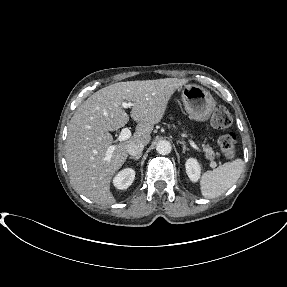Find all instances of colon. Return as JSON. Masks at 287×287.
<instances>
[{"instance_id":"obj_1","label":"colon","mask_w":287,"mask_h":287,"mask_svg":"<svg viewBox=\"0 0 287 287\" xmlns=\"http://www.w3.org/2000/svg\"><path fill=\"white\" fill-rule=\"evenodd\" d=\"M210 124L214 129L230 127L232 124V116L228 109L224 106L216 107L212 114ZM218 146L225 158H233L237 150L236 135L232 132L222 135L218 140Z\"/></svg>"}]
</instances>
